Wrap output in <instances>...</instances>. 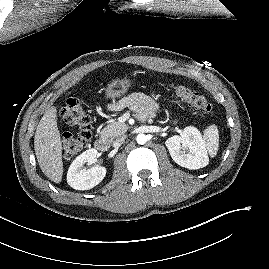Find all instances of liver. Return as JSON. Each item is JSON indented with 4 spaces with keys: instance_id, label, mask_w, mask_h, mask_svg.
I'll use <instances>...</instances> for the list:
<instances>
[{
    "instance_id": "1",
    "label": "liver",
    "mask_w": 269,
    "mask_h": 269,
    "mask_svg": "<svg viewBox=\"0 0 269 269\" xmlns=\"http://www.w3.org/2000/svg\"><path fill=\"white\" fill-rule=\"evenodd\" d=\"M34 150L42 172L51 181L60 183L63 176L62 142L55 106L45 112L37 126Z\"/></svg>"
}]
</instances>
